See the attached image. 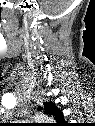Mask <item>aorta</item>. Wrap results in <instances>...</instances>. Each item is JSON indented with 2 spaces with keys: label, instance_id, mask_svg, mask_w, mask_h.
Segmentation results:
<instances>
[{
  "label": "aorta",
  "instance_id": "obj_1",
  "mask_svg": "<svg viewBox=\"0 0 95 126\" xmlns=\"http://www.w3.org/2000/svg\"><path fill=\"white\" fill-rule=\"evenodd\" d=\"M35 121L40 122V123H47V122L52 121V119L46 115L37 114L35 115Z\"/></svg>",
  "mask_w": 95,
  "mask_h": 126
}]
</instances>
